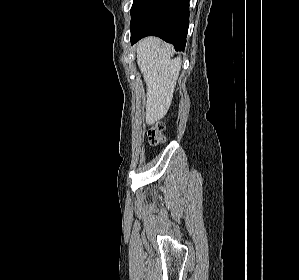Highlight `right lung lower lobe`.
Masks as SVG:
<instances>
[{
  "label": "right lung lower lobe",
  "mask_w": 299,
  "mask_h": 280,
  "mask_svg": "<svg viewBox=\"0 0 299 280\" xmlns=\"http://www.w3.org/2000/svg\"><path fill=\"white\" fill-rule=\"evenodd\" d=\"M189 26V0H134L131 8V44L154 35L184 50Z\"/></svg>",
  "instance_id": "right-lung-lower-lobe-1"
}]
</instances>
